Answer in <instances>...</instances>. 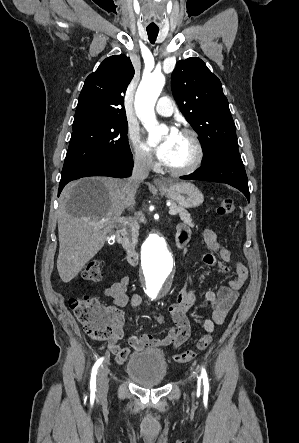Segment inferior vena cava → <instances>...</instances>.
I'll list each match as a JSON object with an SVG mask.
<instances>
[{
  "label": "inferior vena cava",
  "instance_id": "602c4592",
  "mask_svg": "<svg viewBox=\"0 0 299 443\" xmlns=\"http://www.w3.org/2000/svg\"><path fill=\"white\" fill-rule=\"evenodd\" d=\"M152 167L151 156L145 153H138L134 158L132 176L125 182L123 191L129 201H135L137 188L141 181L148 177Z\"/></svg>",
  "mask_w": 299,
  "mask_h": 443
}]
</instances>
